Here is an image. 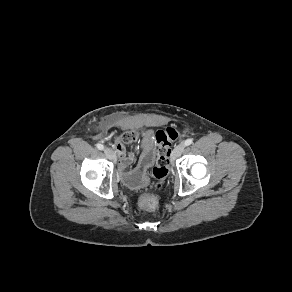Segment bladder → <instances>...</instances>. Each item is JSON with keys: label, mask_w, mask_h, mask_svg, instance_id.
I'll return each instance as SVG.
<instances>
[{"label": "bladder", "mask_w": 292, "mask_h": 292, "mask_svg": "<svg viewBox=\"0 0 292 292\" xmlns=\"http://www.w3.org/2000/svg\"><path fill=\"white\" fill-rule=\"evenodd\" d=\"M122 181L126 187L130 189H140L145 187L149 180L146 175L136 173H125L122 177Z\"/></svg>", "instance_id": "obj_1"}]
</instances>
